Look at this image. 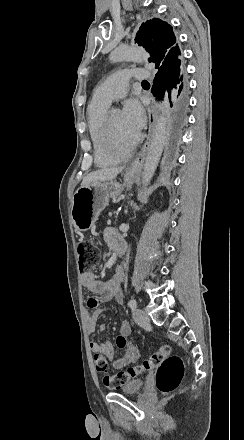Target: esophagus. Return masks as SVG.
<instances>
[{
    "label": "esophagus",
    "instance_id": "obj_1",
    "mask_svg": "<svg viewBox=\"0 0 244 440\" xmlns=\"http://www.w3.org/2000/svg\"><path fill=\"white\" fill-rule=\"evenodd\" d=\"M156 109H157V103L155 101H153L148 109V118H149L148 135H147L146 141H145L143 147L141 148L138 156L128 165L127 171L129 173L139 174L142 167H143V164H144V161L146 158V153L149 149L150 142L153 137L155 124H156Z\"/></svg>",
    "mask_w": 244,
    "mask_h": 440
}]
</instances>
